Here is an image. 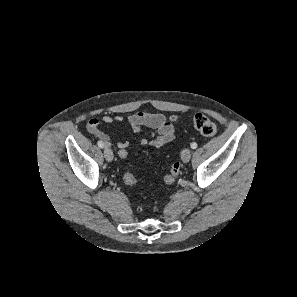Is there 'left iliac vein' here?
Here are the masks:
<instances>
[{
  "label": "left iliac vein",
  "mask_w": 297,
  "mask_h": 297,
  "mask_svg": "<svg viewBox=\"0 0 297 297\" xmlns=\"http://www.w3.org/2000/svg\"><path fill=\"white\" fill-rule=\"evenodd\" d=\"M191 151L188 148H185L181 153V159L184 163H187L190 160Z\"/></svg>",
  "instance_id": "1"
}]
</instances>
